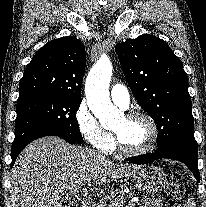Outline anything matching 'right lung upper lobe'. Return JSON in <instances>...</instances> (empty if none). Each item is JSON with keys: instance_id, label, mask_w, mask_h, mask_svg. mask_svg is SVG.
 <instances>
[{"instance_id": "right-lung-upper-lobe-1", "label": "right lung upper lobe", "mask_w": 206, "mask_h": 207, "mask_svg": "<svg viewBox=\"0 0 206 207\" xmlns=\"http://www.w3.org/2000/svg\"><path fill=\"white\" fill-rule=\"evenodd\" d=\"M84 71L85 48L79 39L67 36L50 41L26 66L18 100L38 95L80 99Z\"/></svg>"}]
</instances>
